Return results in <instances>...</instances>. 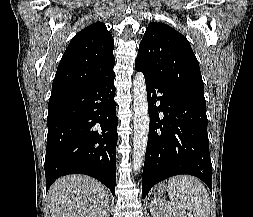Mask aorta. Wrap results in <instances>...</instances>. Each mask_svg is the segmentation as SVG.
Listing matches in <instances>:
<instances>
[{"label":"aorta","mask_w":253,"mask_h":217,"mask_svg":"<svg viewBox=\"0 0 253 217\" xmlns=\"http://www.w3.org/2000/svg\"><path fill=\"white\" fill-rule=\"evenodd\" d=\"M133 110H134V137H133V170L140 171L144 163L150 117L145 78L142 72L136 73L133 80Z\"/></svg>","instance_id":"aorta-1"}]
</instances>
